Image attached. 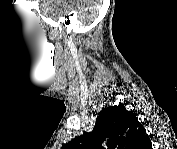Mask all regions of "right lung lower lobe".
<instances>
[{
    "instance_id": "1",
    "label": "right lung lower lobe",
    "mask_w": 177,
    "mask_h": 149,
    "mask_svg": "<svg viewBox=\"0 0 177 149\" xmlns=\"http://www.w3.org/2000/svg\"><path fill=\"white\" fill-rule=\"evenodd\" d=\"M152 146H151V141H150V143H148L147 145H146V148H148V149H150Z\"/></svg>"
}]
</instances>
